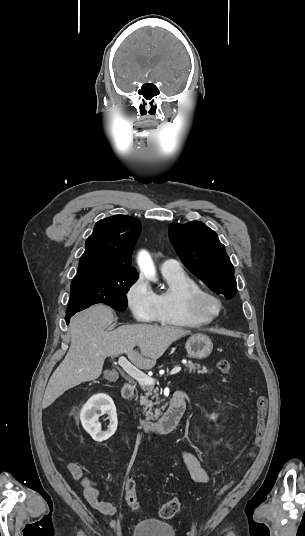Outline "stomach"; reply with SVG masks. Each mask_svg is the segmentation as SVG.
Segmentation results:
<instances>
[{
    "instance_id": "1",
    "label": "stomach",
    "mask_w": 305,
    "mask_h": 536,
    "mask_svg": "<svg viewBox=\"0 0 305 536\" xmlns=\"http://www.w3.org/2000/svg\"><path fill=\"white\" fill-rule=\"evenodd\" d=\"M185 348L189 358L202 360V358L210 356L213 350V344L209 336H205V334H194V336H191L187 340Z\"/></svg>"
}]
</instances>
